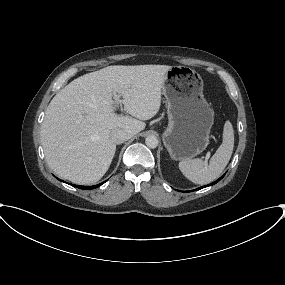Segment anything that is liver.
<instances>
[{"label": "liver", "mask_w": 285, "mask_h": 285, "mask_svg": "<svg viewBox=\"0 0 285 285\" xmlns=\"http://www.w3.org/2000/svg\"><path fill=\"white\" fill-rule=\"evenodd\" d=\"M171 66H108L85 74L61 89L49 103L41 125V143L50 168L76 184L100 180L116 151L113 130L131 137L144 130L161 105L165 75ZM114 94L123 98L127 116L115 113Z\"/></svg>", "instance_id": "obj_1"}]
</instances>
